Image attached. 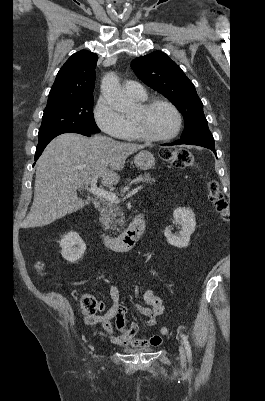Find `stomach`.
<instances>
[{
	"label": "stomach",
	"instance_id": "1",
	"mask_svg": "<svg viewBox=\"0 0 265 401\" xmlns=\"http://www.w3.org/2000/svg\"><path fill=\"white\" fill-rule=\"evenodd\" d=\"M134 162L138 168H141V170H148V168L154 166L155 158L149 150H140L138 154H135Z\"/></svg>",
	"mask_w": 265,
	"mask_h": 401
}]
</instances>
